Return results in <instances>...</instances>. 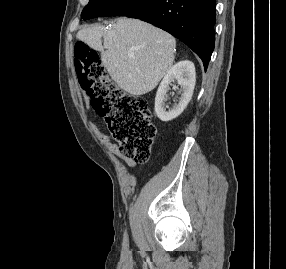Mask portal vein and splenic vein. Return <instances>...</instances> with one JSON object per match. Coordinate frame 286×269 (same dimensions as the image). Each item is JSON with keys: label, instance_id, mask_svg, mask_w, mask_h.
I'll return each mask as SVG.
<instances>
[{"label": "portal vein and splenic vein", "instance_id": "18ae733b", "mask_svg": "<svg viewBox=\"0 0 286 269\" xmlns=\"http://www.w3.org/2000/svg\"><path fill=\"white\" fill-rule=\"evenodd\" d=\"M130 58L133 59L134 58L133 55H130Z\"/></svg>", "mask_w": 286, "mask_h": 269}]
</instances>
